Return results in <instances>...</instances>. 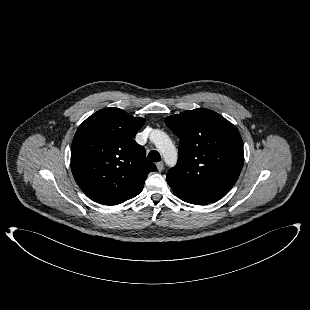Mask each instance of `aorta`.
<instances>
[{"label": "aorta", "mask_w": 310, "mask_h": 310, "mask_svg": "<svg viewBox=\"0 0 310 310\" xmlns=\"http://www.w3.org/2000/svg\"><path fill=\"white\" fill-rule=\"evenodd\" d=\"M151 139L163 156L165 162L169 166L175 165L177 161V150L169 136L165 132L156 129L152 131Z\"/></svg>", "instance_id": "762f6f07"}]
</instances>
